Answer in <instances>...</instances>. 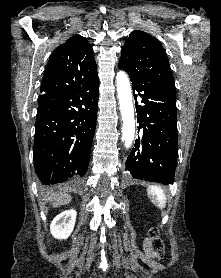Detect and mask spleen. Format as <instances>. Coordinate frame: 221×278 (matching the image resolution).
<instances>
[{
	"mask_svg": "<svg viewBox=\"0 0 221 278\" xmlns=\"http://www.w3.org/2000/svg\"><path fill=\"white\" fill-rule=\"evenodd\" d=\"M147 194L151 202L158 208L162 209L166 206V196L161 187L152 185L148 188Z\"/></svg>",
	"mask_w": 221,
	"mask_h": 278,
	"instance_id": "3e777b00",
	"label": "spleen"
}]
</instances>
